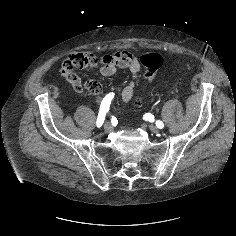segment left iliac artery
<instances>
[{
    "instance_id": "1",
    "label": "left iliac artery",
    "mask_w": 236,
    "mask_h": 236,
    "mask_svg": "<svg viewBox=\"0 0 236 236\" xmlns=\"http://www.w3.org/2000/svg\"><path fill=\"white\" fill-rule=\"evenodd\" d=\"M148 114H145V116H147ZM149 116V115H148ZM152 116V115H151ZM156 126L158 127V128H160V129H162L163 127H164V124H163V122L162 121H160V120H157L156 121Z\"/></svg>"
}]
</instances>
